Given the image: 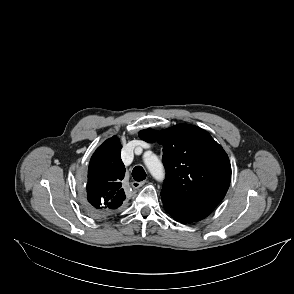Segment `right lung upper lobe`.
<instances>
[{"label":"right lung upper lobe","instance_id":"cb5924a9","mask_svg":"<svg viewBox=\"0 0 294 294\" xmlns=\"http://www.w3.org/2000/svg\"><path fill=\"white\" fill-rule=\"evenodd\" d=\"M121 143L117 136L107 139L91 157L88 168L87 198L98 216H109L125 200L121 181L125 167L121 160Z\"/></svg>","mask_w":294,"mask_h":294}]
</instances>
